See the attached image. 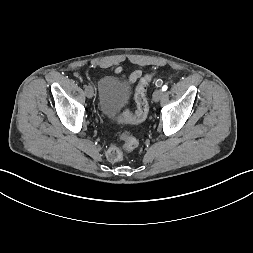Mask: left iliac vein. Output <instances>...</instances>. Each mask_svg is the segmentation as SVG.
I'll return each mask as SVG.
<instances>
[{
	"mask_svg": "<svg viewBox=\"0 0 253 253\" xmlns=\"http://www.w3.org/2000/svg\"><path fill=\"white\" fill-rule=\"evenodd\" d=\"M162 95H163V91L161 89L155 90L153 93V100L155 102H158L161 99Z\"/></svg>",
	"mask_w": 253,
	"mask_h": 253,
	"instance_id": "4c4485c4",
	"label": "left iliac vein"
}]
</instances>
